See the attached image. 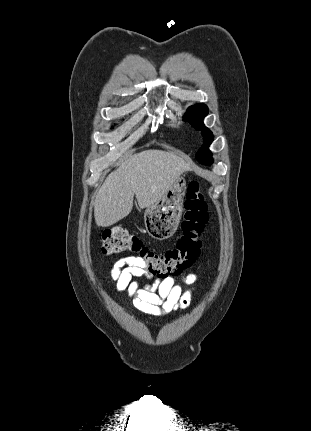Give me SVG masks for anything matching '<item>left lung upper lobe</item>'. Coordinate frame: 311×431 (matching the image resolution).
I'll use <instances>...</instances> for the list:
<instances>
[{
  "instance_id": "5c2ea615",
  "label": "left lung upper lobe",
  "mask_w": 311,
  "mask_h": 431,
  "mask_svg": "<svg viewBox=\"0 0 311 431\" xmlns=\"http://www.w3.org/2000/svg\"><path fill=\"white\" fill-rule=\"evenodd\" d=\"M208 114V107L205 104H195L187 109L185 121H189L191 125L201 130L204 144L196 154V159L204 164H210L213 162L211 158L212 153L208 150V146L213 141L212 132L205 127L202 120Z\"/></svg>"
}]
</instances>
